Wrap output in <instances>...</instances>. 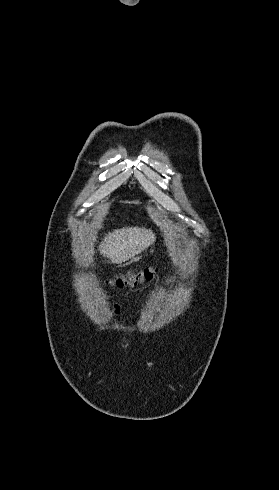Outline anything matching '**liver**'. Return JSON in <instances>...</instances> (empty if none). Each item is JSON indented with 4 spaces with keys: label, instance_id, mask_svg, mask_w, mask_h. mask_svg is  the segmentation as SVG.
<instances>
[{
    "label": "liver",
    "instance_id": "obj_1",
    "mask_svg": "<svg viewBox=\"0 0 279 490\" xmlns=\"http://www.w3.org/2000/svg\"><path fill=\"white\" fill-rule=\"evenodd\" d=\"M155 240L152 230L122 228L106 234L104 242H100L99 254L108 258L109 264H123L144 252Z\"/></svg>",
    "mask_w": 279,
    "mask_h": 490
}]
</instances>
